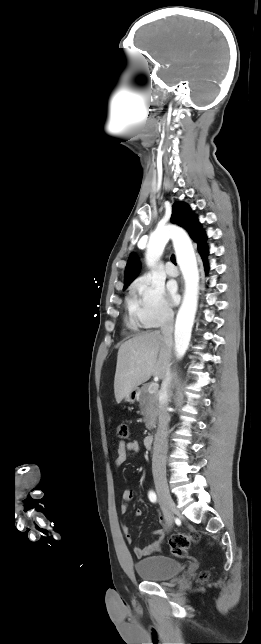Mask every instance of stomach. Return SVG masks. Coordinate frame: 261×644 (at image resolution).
<instances>
[{
    "label": "stomach",
    "mask_w": 261,
    "mask_h": 644,
    "mask_svg": "<svg viewBox=\"0 0 261 644\" xmlns=\"http://www.w3.org/2000/svg\"><path fill=\"white\" fill-rule=\"evenodd\" d=\"M137 397H138V390L135 389L134 391H132L131 393L125 396V401L129 403H134Z\"/></svg>",
    "instance_id": "1"
}]
</instances>
